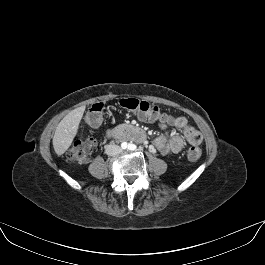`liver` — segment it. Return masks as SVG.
I'll return each instance as SVG.
<instances>
[{
	"mask_svg": "<svg viewBox=\"0 0 265 265\" xmlns=\"http://www.w3.org/2000/svg\"><path fill=\"white\" fill-rule=\"evenodd\" d=\"M85 107H79L67 114L58 124L53 136V148L57 155L64 154L77 134Z\"/></svg>",
	"mask_w": 265,
	"mask_h": 265,
	"instance_id": "liver-1",
	"label": "liver"
}]
</instances>
